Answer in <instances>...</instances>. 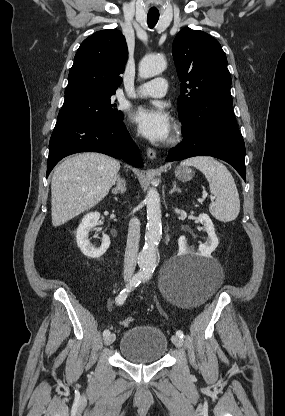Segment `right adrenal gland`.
Returning <instances> with one entry per match:
<instances>
[{"mask_svg": "<svg viewBox=\"0 0 285 416\" xmlns=\"http://www.w3.org/2000/svg\"><path fill=\"white\" fill-rule=\"evenodd\" d=\"M124 192H126V182L118 174L116 178V188H113L112 194H124Z\"/></svg>", "mask_w": 285, "mask_h": 416, "instance_id": "2a0ac1e0", "label": "right adrenal gland"}]
</instances>
